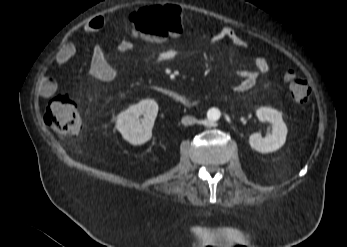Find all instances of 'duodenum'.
<instances>
[{"label": "duodenum", "mask_w": 347, "mask_h": 247, "mask_svg": "<svg viewBox=\"0 0 347 247\" xmlns=\"http://www.w3.org/2000/svg\"><path fill=\"white\" fill-rule=\"evenodd\" d=\"M168 96L175 101L176 103L184 106V107H193L196 105V100L186 96L177 91H171Z\"/></svg>", "instance_id": "duodenum-1"}]
</instances>
